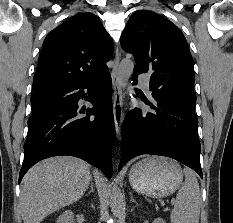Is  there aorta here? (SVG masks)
Here are the masks:
<instances>
[{
    "label": "aorta",
    "instance_id": "762f6f07",
    "mask_svg": "<svg viewBox=\"0 0 233 223\" xmlns=\"http://www.w3.org/2000/svg\"><path fill=\"white\" fill-rule=\"evenodd\" d=\"M134 64L131 60H123L119 66V80L122 88H125L129 82V78L133 72ZM110 197V205L112 211L117 213V209H120L121 201H122V193L120 187L118 185H113L111 187Z\"/></svg>",
    "mask_w": 233,
    "mask_h": 223
}]
</instances>
